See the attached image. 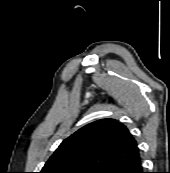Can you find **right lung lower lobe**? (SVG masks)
I'll return each mask as SVG.
<instances>
[{
  "label": "right lung lower lobe",
  "mask_w": 170,
  "mask_h": 173,
  "mask_svg": "<svg viewBox=\"0 0 170 173\" xmlns=\"http://www.w3.org/2000/svg\"><path fill=\"white\" fill-rule=\"evenodd\" d=\"M102 173H144L140 154L118 162Z\"/></svg>",
  "instance_id": "98d812e1"
}]
</instances>
